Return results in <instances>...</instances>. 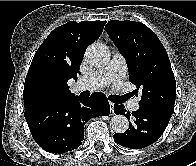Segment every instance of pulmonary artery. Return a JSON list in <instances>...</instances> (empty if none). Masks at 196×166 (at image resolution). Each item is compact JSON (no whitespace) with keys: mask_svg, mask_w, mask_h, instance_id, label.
Instances as JSON below:
<instances>
[{"mask_svg":"<svg viewBox=\"0 0 196 166\" xmlns=\"http://www.w3.org/2000/svg\"><path fill=\"white\" fill-rule=\"evenodd\" d=\"M127 71L125 58L116 53L111 61L103 69L94 72L93 74L79 79L74 89L76 91H93L101 89L108 84L118 85L124 79ZM129 107L131 110L136 111L139 108L137 99L130 102Z\"/></svg>","mask_w":196,"mask_h":166,"instance_id":"1","label":"pulmonary artery"}]
</instances>
